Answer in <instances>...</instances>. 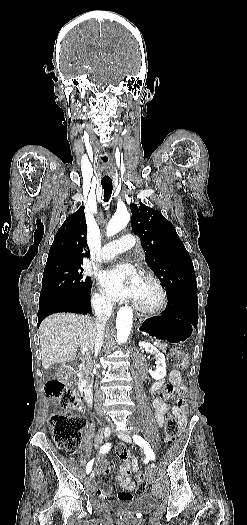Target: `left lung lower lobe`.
Masks as SVG:
<instances>
[{"label":"left lung lower lobe","instance_id":"left-lung-lower-lobe-1","mask_svg":"<svg viewBox=\"0 0 247 525\" xmlns=\"http://www.w3.org/2000/svg\"><path fill=\"white\" fill-rule=\"evenodd\" d=\"M160 317L184 318L197 329L198 299L197 293L181 292L168 296L166 310Z\"/></svg>","mask_w":247,"mask_h":525}]
</instances>
